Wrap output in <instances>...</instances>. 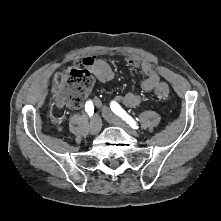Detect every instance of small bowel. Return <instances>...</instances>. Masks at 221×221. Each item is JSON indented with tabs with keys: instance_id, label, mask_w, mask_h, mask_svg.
Listing matches in <instances>:
<instances>
[{
	"instance_id": "c3829d8e",
	"label": "small bowel",
	"mask_w": 221,
	"mask_h": 221,
	"mask_svg": "<svg viewBox=\"0 0 221 221\" xmlns=\"http://www.w3.org/2000/svg\"><path fill=\"white\" fill-rule=\"evenodd\" d=\"M84 63L89 67L94 77L102 83L110 82L114 79V71L111 66L103 60L95 57H86ZM131 68H139L145 75V79L141 83L143 92L152 91L160 81V75L156 68L147 61H140L136 57H129L126 61ZM120 102H123L129 107H137L141 103V97L133 92H128L117 97ZM94 103L99 105V100L93 98Z\"/></svg>"
}]
</instances>
